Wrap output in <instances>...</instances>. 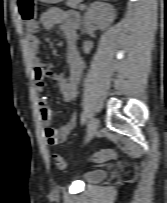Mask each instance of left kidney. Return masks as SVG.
<instances>
[{"label": "left kidney", "instance_id": "5707ae66", "mask_svg": "<svg viewBox=\"0 0 167 203\" xmlns=\"http://www.w3.org/2000/svg\"><path fill=\"white\" fill-rule=\"evenodd\" d=\"M115 19V14L112 7L102 3H93L85 13L84 27L86 28L90 24L97 25L100 29H106ZM85 32V29H83ZM93 44L89 41H85L83 44V50L85 53H89Z\"/></svg>", "mask_w": 167, "mask_h": 203}]
</instances>
